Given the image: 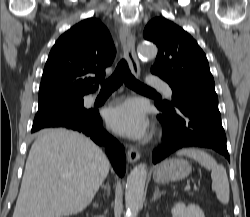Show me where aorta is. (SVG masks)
I'll use <instances>...</instances> for the list:
<instances>
[{
    "label": "aorta",
    "instance_id": "1",
    "mask_svg": "<svg viewBox=\"0 0 250 217\" xmlns=\"http://www.w3.org/2000/svg\"><path fill=\"white\" fill-rule=\"evenodd\" d=\"M141 59H154L157 55V47L154 44L142 43L137 48ZM147 177V166L139 164L131 170L127 177L125 206L129 217H136L142 203L144 186Z\"/></svg>",
    "mask_w": 250,
    "mask_h": 217
}]
</instances>
